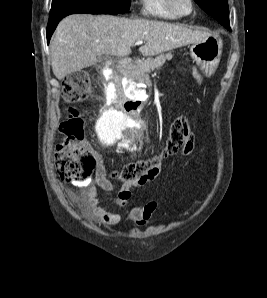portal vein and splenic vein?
Here are the masks:
<instances>
[{
  "label": "portal vein and splenic vein",
  "instance_id": "18ae733b",
  "mask_svg": "<svg viewBox=\"0 0 267 298\" xmlns=\"http://www.w3.org/2000/svg\"><path fill=\"white\" fill-rule=\"evenodd\" d=\"M143 43V41H137L135 44L136 45H141Z\"/></svg>",
  "mask_w": 267,
  "mask_h": 298
}]
</instances>
